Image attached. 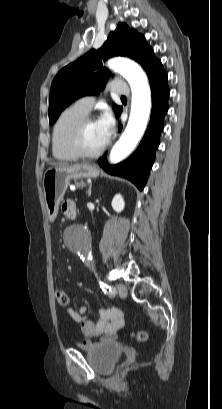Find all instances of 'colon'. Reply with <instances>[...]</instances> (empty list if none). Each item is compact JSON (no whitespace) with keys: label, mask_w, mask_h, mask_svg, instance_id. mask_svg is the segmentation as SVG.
<instances>
[{"label":"colon","mask_w":222,"mask_h":409,"mask_svg":"<svg viewBox=\"0 0 222 409\" xmlns=\"http://www.w3.org/2000/svg\"><path fill=\"white\" fill-rule=\"evenodd\" d=\"M56 299L58 305L61 307H67L69 305L70 298L68 293L64 290H58L56 292ZM136 339L141 342L146 341L148 339V332L146 330H140L136 334Z\"/></svg>","instance_id":"colon-1"}]
</instances>
